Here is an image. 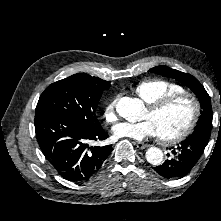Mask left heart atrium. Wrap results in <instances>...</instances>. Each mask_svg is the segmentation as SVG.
I'll return each instance as SVG.
<instances>
[{
  "label": "left heart atrium",
  "mask_w": 221,
  "mask_h": 221,
  "mask_svg": "<svg viewBox=\"0 0 221 221\" xmlns=\"http://www.w3.org/2000/svg\"><path fill=\"white\" fill-rule=\"evenodd\" d=\"M113 133L116 137L134 140L158 135L156 126L150 119L141 122H120L113 127Z\"/></svg>",
  "instance_id": "left-heart-atrium-1"
}]
</instances>
